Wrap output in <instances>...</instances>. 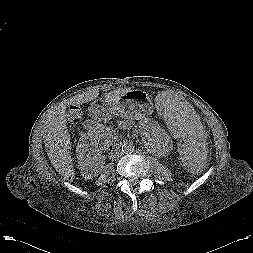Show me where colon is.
<instances>
[{
    "mask_svg": "<svg viewBox=\"0 0 253 253\" xmlns=\"http://www.w3.org/2000/svg\"><path fill=\"white\" fill-rule=\"evenodd\" d=\"M69 115L72 118H78L81 115V107L76 105L70 107Z\"/></svg>",
    "mask_w": 253,
    "mask_h": 253,
    "instance_id": "obj_1",
    "label": "colon"
}]
</instances>
